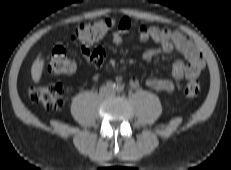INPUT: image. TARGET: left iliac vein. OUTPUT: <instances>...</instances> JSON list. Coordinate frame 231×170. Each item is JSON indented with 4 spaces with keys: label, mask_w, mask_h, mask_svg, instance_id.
Masks as SVG:
<instances>
[{
    "label": "left iliac vein",
    "mask_w": 231,
    "mask_h": 170,
    "mask_svg": "<svg viewBox=\"0 0 231 170\" xmlns=\"http://www.w3.org/2000/svg\"><path fill=\"white\" fill-rule=\"evenodd\" d=\"M114 93V91H111V94H113Z\"/></svg>",
    "instance_id": "4c4485c4"
}]
</instances>
